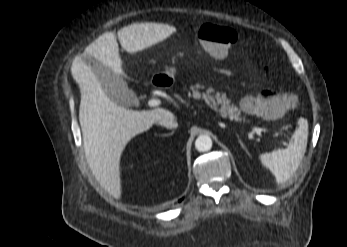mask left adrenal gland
<instances>
[{"label": "left adrenal gland", "instance_id": "1", "mask_svg": "<svg viewBox=\"0 0 347 247\" xmlns=\"http://www.w3.org/2000/svg\"><path fill=\"white\" fill-rule=\"evenodd\" d=\"M237 138L239 140V143L241 144L242 148L246 151L247 154H249L247 148L245 147L244 143L242 142V140L239 138V135L237 134Z\"/></svg>", "mask_w": 347, "mask_h": 247}]
</instances>
